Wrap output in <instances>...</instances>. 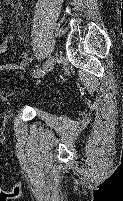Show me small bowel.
Returning a JSON list of instances; mask_svg holds the SVG:
<instances>
[{"label":"small bowel","instance_id":"small-bowel-1","mask_svg":"<svg viewBox=\"0 0 123 201\" xmlns=\"http://www.w3.org/2000/svg\"><path fill=\"white\" fill-rule=\"evenodd\" d=\"M14 39V35H9L0 43V56L5 53L9 43ZM28 62V54L22 52L17 62L0 65V72H10L14 70H22L26 67Z\"/></svg>","mask_w":123,"mask_h":201}]
</instances>
